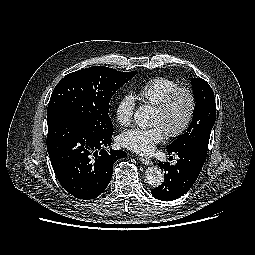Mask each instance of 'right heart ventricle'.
I'll return each mask as SVG.
<instances>
[{"label":"right heart ventricle","mask_w":255,"mask_h":255,"mask_svg":"<svg viewBox=\"0 0 255 255\" xmlns=\"http://www.w3.org/2000/svg\"><path fill=\"white\" fill-rule=\"evenodd\" d=\"M177 87L178 83L170 78L155 77L143 84L137 90L136 96L141 102L156 106Z\"/></svg>","instance_id":"obj_1"}]
</instances>
